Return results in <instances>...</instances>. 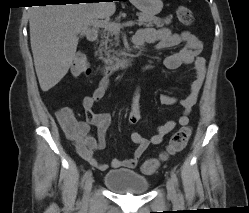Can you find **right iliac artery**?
I'll return each instance as SVG.
<instances>
[{
  "label": "right iliac artery",
  "instance_id": "right-iliac-artery-1",
  "mask_svg": "<svg viewBox=\"0 0 249 213\" xmlns=\"http://www.w3.org/2000/svg\"><path fill=\"white\" fill-rule=\"evenodd\" d=\"M89 176H91V171H90V170H88V171L84 174L83 180H86Z\"/></svg>",
  "mask_w": 249,
  "mask_h": 213
}]
</instances>
